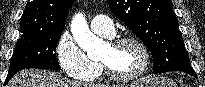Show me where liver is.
I'll list each match as a JSON object with an SVG mask.
<instances>
[{
	"instance_id": "liver-1",
	"label": "liver",
	"mask_w": 205,
	"mask_h": 87,
	"mask_svg": "<svg viewBox=\"0 0 205 87\" xmlns=\"http://www.w3.org/2000/svg\"><path fill=\"white\" fill-rule=\"evenodd\" d=\"M7 87H106L83 84L45 70L26 69L13 76Z\"/></svg>"
}]
</instances>
